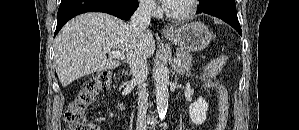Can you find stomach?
<instances>
[{"mask_svg": "<svg viewBox=\"0 0 299 130\" xmlns=\"http://www.w3.org/2000/svg\"><path fill=\"white\" fill-rule=\"evenodd\" d=\"M166 38L188 51L199 52L212 40V33L202 22H191L167 34Z\"/></svg>", "mask_w": 299, "mask_h": 130, "instance_id": "0dacf381", "label": "stomach"}]
</instances>
